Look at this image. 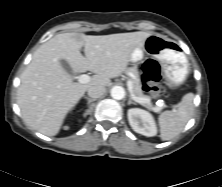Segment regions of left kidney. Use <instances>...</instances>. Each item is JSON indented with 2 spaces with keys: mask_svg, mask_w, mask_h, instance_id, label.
<instances>
[{
  "mask_svg": "<svg viewBox=\"0 0 222 187\" xmlns=\"http://www.w3.org/2000/svg\"><path fill=\"white\" fill-rule=\"evenodd\" d=\"M127 115L129 124L135 132L147 137L157 134L155 120L149 112L139 108H131Z\"/></svg>",
  "mask_w": 222,
  "mask_h": 187,
  "instance_id": "1",
  "label": "left kidney"
}]
</instances>
